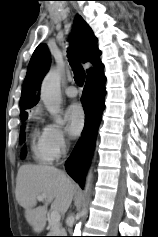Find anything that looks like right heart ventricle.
I'll use <instances>...</instances> for the list:
<instances>
[{"label": "right heart ventricle", "mask_w": 158, "mask_h": 237, "mask_svg": "<svg viewBox=\"0 0 158 237\" xmlns=\"http://www.w3.org/2000/svg\"><path fill=\"white\" fill-rule=\"evenodd\" d=\"M31 150L36 161L40 163H50L52 155L45 146L44 133L38 126H33L30 133Z\"/></svg>", "instance_id": "e07e8e85"}]
</instances>
